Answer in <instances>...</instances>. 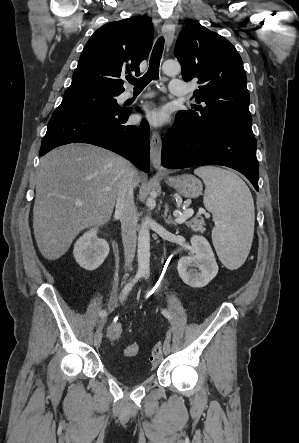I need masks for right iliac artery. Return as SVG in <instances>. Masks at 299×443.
<instances>
[{
	"instance_id": "1",
	"label": "right iliac artery",
	"mask_w": 299,
	"mask_h": 443,
	"mask_svg": "<svg viewBox=\"0 0 299 443\" xmlns=\"http://www.w3.org/2000/svg\"><path fill=\"white\" fill-rule=\"evenodd\" d=\"M142 277L141 273H137L136 276L124 287V289L122 290L120 299L124 300L125 297L127 296V294L129 293V291L132 289V287L134 286V284L138 281L139 278ZM99 316L104 318L107 316V312L105 310H101L99 312Z\"/></svg>"
}]
</instances>
